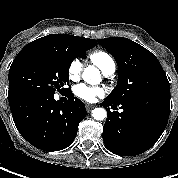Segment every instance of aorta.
I'll return each instance as SVG.
<instances>
[{
    "label": "aorta",
    "instance_id": "obj_1",
    "mask_svg": "<svg viewBox=\"0 0 178 178\" xmlns=\"http://www.w3.org/2000/svg\"><path fill=\"white\" fill-rule=\"evenodd\" d=\"M82 77L89 84H97L101 80L99 70L94 66L85 68ZM92 116L95 120H104L107 117V112L103 108H95L92 110Z\"/></svg>",
    "mask_w": 178,
    "mask_h": 178
}]
</instances>
